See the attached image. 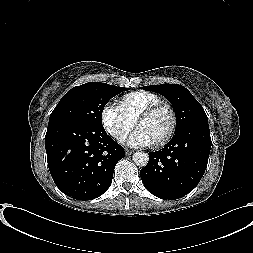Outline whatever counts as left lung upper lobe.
<instances>
[{
	"label": "left lung upper lobe",
	"mask_w": 253,
	"mask_h": 253,
	"mask_svg": "<svg viewBox=\"0 0 253 253\" xmlns=\"http://www.w3.org/2000/svg\"><path fill=\"white\" fill-rule=\"evenodd\" d=\"M142 89L159 93L169 100L176 114L175 132L193 124L208 125L204 109L185 87L177 84H160L144 86Z\"/></svg>",
	"instance_id": "obj_1"
}]
</instances>
